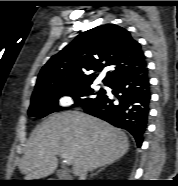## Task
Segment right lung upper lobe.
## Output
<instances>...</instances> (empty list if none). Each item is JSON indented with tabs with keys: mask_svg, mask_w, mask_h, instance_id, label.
<instances>
[{
	"mask_svg": "<svg viewBox=\"0 0 178 186\" xmlns=\"http://www.w3.org/2000/svg\"><path fill=\"white\" fill-rule=\"evenodd\" d=\"M145 62L141 45L130 33L107 24L79 34L41 69L35 91L72 88L92 84L99 72L110 66L103 79L108 84L120 73ZM90 71H94L90 73Z\"/></svg>",
	"mask_w": 178,
	"mask_h": 186,
	"instance_id": "cb5924a9",
	"label": "right lung upper lobe"
}]
</instances>
